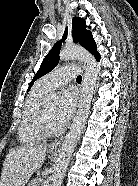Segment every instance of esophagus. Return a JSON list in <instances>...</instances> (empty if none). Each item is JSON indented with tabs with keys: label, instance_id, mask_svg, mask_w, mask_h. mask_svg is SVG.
<instances>
[{
	"label": "esophagus",
	"instance_id": "34e87169",
	"mask_svg": "<svg viewBox=\"0 0 138 186\" xmlns=\"http://www.w3.org/2000/svg\"><path fill=\"white\" fill-rule=\"evenodd\" d=\"M79 64L82 66V63L79 62ZM63 141V137L57 138L55 139L51 144H50V148L51 149H58L61 146V143Z\"/></svg>",
	"mask_w": 138,
	"mask_h": 186
}]
</instances>
